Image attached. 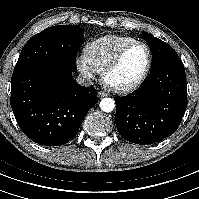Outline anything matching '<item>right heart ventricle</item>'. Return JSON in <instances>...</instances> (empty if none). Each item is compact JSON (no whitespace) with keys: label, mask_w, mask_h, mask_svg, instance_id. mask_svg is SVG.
I'll return each instance as SVG.
<instances>
[{"label":"right heart ventricle","mask_w":199,"mask_h":199,"mask_svg":"<svg viewBox=\"0 0 199 199\" xmlns=\"http://www.w3.org/2000/svg\"><path fill=\"white\" fill-rule=\"evenodd\" d=\"M133 41L135 39L130 36L106 35L90 42L87 52L95 66L102 71L121 48Z\"/></svg>","instance_id":"e07e8e85"}]
</instances>
